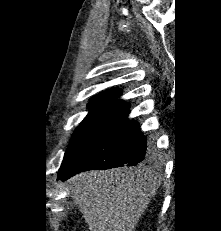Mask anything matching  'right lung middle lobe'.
<instances>
[{"label":"right lung middle lobe","mask_w":221,"mask_h":231,"mask_svg":"<svg viewBox=\"0 0 221 231\" xmlns=\"http://www.w3.org/2000/svg\"><path fill=\"white\" fill-rule=\"evenodd\" d=\"M130 105L117 99H94L88 104L89 113L74 132L70 145L64 155L61 167L72 163L76 157L89 147L119 114Z\"/></svg>","instance_id":"right-lung-middle-lobe-1"}]
</instances>
